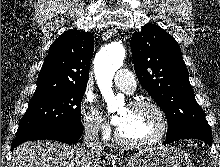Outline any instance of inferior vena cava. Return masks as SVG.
I'll use <instances>...</instances> for the list:
<instances>
[{
    "label": "inferior vena cava",
    "instance_id": "obj_1",
    "mask_svg": "<svg viewBox=\"0 0 220 167\" xmlns=\"http://www.w3.org/2000/svg\"><path fill=\"white\" fill-rule=\"evenodd\" d=\"M82 148L91 154L103 151L102 143L99 140L98 125L95 124L85 128Z\"/></svg>",
    "mask_w": 220,
    "mask_h": 167
}]
</instances>
